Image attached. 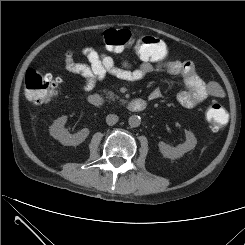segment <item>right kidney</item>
Wrapping results in <instances>:
<instances>
[{
    "label": "right kidney",
    "mask_w": 245,
    "mask_h": 245,
    "mask_svg": "<svg viewBox=\"0 0 245 245\" xmlns=\"http://www.w3.org/2000/svg\"><path fill=\"white\" fill-rule=\"evenodd\" d=\"M66 121L67 116H62L55 120L50 127V135L65 146H77L87 138L89 130L84 128L75 134H70L67 129L64 128Z\"/></svg>",
    "instance_id": "obj_1"
}]
</instances>
